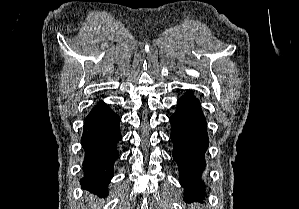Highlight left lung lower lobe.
Returning <instances> with one entry per match:
<instances>
[{
    "instance_id": "left-lung-lower-lobe-1",
    "label": "left lung lower lobe",
    "mask_w": 299,
    "mask_h": 209,
    "mask_svg": "<svg viewBox=\"0 0 299 209\" xmlns=\"http://www.w3.org/2000/svg\"><path fill=\"white\" fill-rule=\"evenodd\" d=\"M170 122L173 158L179 167V181L185 189V200L201 201L205 197L201 173L206 166L204 156L209 138L200 102L191 92L178 100Z\"/></svg>"
}]
</instances>
